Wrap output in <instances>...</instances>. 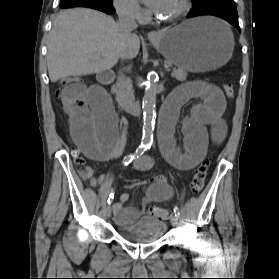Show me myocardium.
Instances as JSON below:
<instances>
[{"label":"myocardium","mask_w":279,"mask_h":279,"mask_svg":"<svg viewBox=\"0 0 279 279\" xmlns=\"http://www.w3.org/2000/svg\"><path fill=\"white\" fill-rule=\"evenodd\" d=\"M190 0H182V5L180 7V9L172 16L170 17H159L156 16V18L162 22H166V23H172L175 21H178L179 19H181L184 15L187 14V12L190 9Z\"/></svg>","instance_id":"myocardium-1"}]
</instances>
